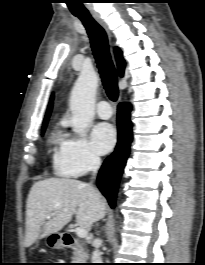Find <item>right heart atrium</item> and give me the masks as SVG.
Instances as JSON below:
<instances>
[{
  "label": "right heart atrium",
  "mask_w": 205,
  "mask_h": 265,
  "mask_svg": "<svg viewBox=\"0 0 205 265\" xmlns=\"http://www.w3.org/2000/svg\"><path fill=\"white\" fill-rule=\"evenodd\" d=\"M100 163L88 139L83 135H67L60 144L56 171L65 176H82Z\"/></svg>",
  "instance_id": "d8ad5b80"
}]
</instances>
